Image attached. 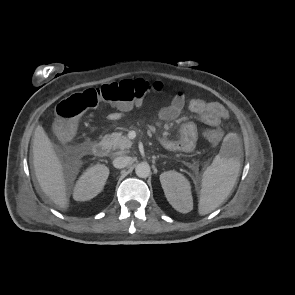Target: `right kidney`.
Segmentation results:
<instances>
[{
    "label": "right kidney",
    "mask_w": 295,
    "mask_h": 295,
    "mask_svg": "<svg viewBox=\"0 0 295 295\" xmlns=\"http://www.w3.org/2000/svg\"><path fill=\"white\" fill-rule=\"evenodd\" d=\"M108 176L109 169L105 165L96 164L89 167L76 183L74 199L87 201L97 196L102 191Z\"/></svg>",
    "instance_id": "1"
}]
</instances>
